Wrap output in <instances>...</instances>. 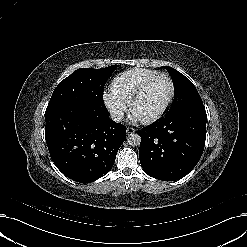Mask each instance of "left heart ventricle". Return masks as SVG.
<instances>
[{"label":"left heart ventricle","instance_id":"left-heart-ventricle-1","mask_svg":"<svg viewBox=\"0 0 247 247\" xmlns=\"http://www.w3.org/2000/svg\"><path fill=\"white\" fill-rule=\"evenodd\" d=\"M168 82L165 78L154 81L142 94L134 106L141 117H148L160 110L168 95Z\"/></svg>","mask_w":247,"mask_h":247}]
</instances>
